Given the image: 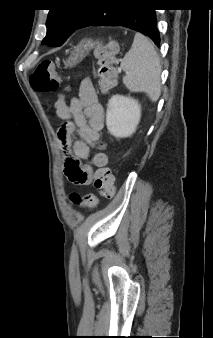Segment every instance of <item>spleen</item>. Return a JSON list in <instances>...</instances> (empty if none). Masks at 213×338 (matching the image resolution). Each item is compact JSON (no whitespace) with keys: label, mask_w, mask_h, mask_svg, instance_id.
Returning <instances> with one entry per match:
<instances>
[{"label":"spleen","mask_w":213,"mask_h":338,"mask_svg":"<svg viewBox=\"0 0 213 338\" xmlns=\"http://www.w3.org/2000/svg\"><path fill=\"white\" fill-rule=\"evenodd\" d=\"M126 73L123 83L131 92H144L152 102L161 95V64L153 44L136 33L130 50L121 62Z\"/></svg>","instance_id":"3e777b00"}]
</instances>
